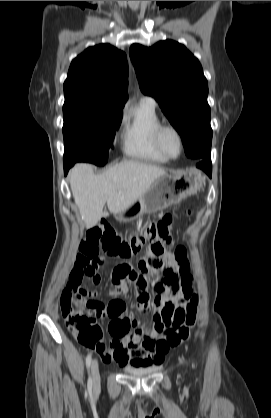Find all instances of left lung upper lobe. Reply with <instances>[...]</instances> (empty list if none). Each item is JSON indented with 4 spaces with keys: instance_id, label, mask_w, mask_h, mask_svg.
<instances>
[{
    "instance_id": "1",
    "label": "left lung upper lobe",
    "mask_w": 271,
    "mask_h": 418,
    "mask_svg": "<svg viewBox=\"0 0 271 418\" xmlns=\"http://www.w3.org/2000/svg\"><path fill=\"white\" fill-rule=\"evenodd\" d=\"M141 91L154 97L182 137L185 153L210 157L212 129L208 83L196 57L175 41L152 47L133 44L129 51Z\"/></svg>"
}]
</instances>
